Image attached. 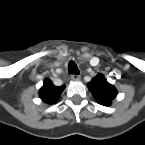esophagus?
I'll list each match as a JSON object with an SVG mask.
<instances>
[{"label":"esophagus","instance_id":"esophagus-1","mask_svg":"<svg viewBox=\"0 0 145 145\" xmlns=\"http://www.w3.org/2000/svg\"><path fill=\"white\" fill-rule=\"evenodd\" d=\"M80 75H78V74H73V75H71V79L73 80V81H79L80 80Z\"/></svg>","mask_w":145,"mask_h":145}]
</instances>
